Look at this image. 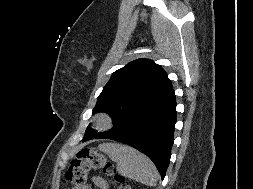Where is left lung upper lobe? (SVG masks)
I'll return each mask as SVG.
<instances>
[{"label":"left lung upper lobe","mask_w":253,"mask_h":189,"mask_svg":"<svg viewBox=\"0 0 253 189\" xmlns=\"http://www.w3.org/2000/svg\"><path fill=\"white\" fill-rule=\"evenodd\" d=\"M171 90V81L159 65L148 59H138L112 74L93 112L109 113L114 119L113 130ZM92 133L97 132L88 127L85 134Z\"/></svg>","instance_id":"left-lung-upper-lobe-1"}]
</instances>
